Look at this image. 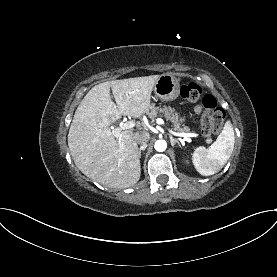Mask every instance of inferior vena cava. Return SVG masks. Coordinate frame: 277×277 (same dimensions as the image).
<instances>
[{
  "instance_id": "inferior-vena-cava-1",
  "label": "inferior vena cava",
  "mask_w": 277,
  "mask_h": 277,
  "mask_svg": "<svg viewBox=\"0 0 277 277\" xmlns=\"http://www.w3.org/2000/svg\"><path fill=\"white\" fill-rule=\"evenodd\" d=\"M149 139H150V135L148 132L140 131L134 134V140L139 145H142V146L147 145V142L149 141Z\"/></svg>"
}]
</instances>
